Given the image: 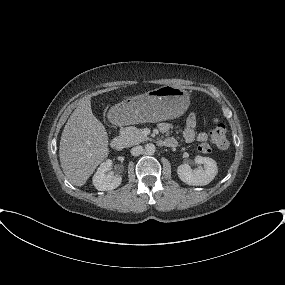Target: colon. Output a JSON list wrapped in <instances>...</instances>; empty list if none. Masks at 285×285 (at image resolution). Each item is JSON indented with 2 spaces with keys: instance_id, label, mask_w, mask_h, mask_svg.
Returning a JSON list of instances; mask_svg holds the SVG:
<instances>
[{
  "instance_id": "obj_1",
  "label": "colon",
  "mask_w": 285,
  "mask_h": 285,
  "mask_svg": "<svg viewBox=\"0 0 285 285\" xmlns=\"http://www.w3.org/2000/svg\"><path fill=\"white\" fill-rule=\"evenodd\" d=\"M210 138L212 143L219 150H225L229 146L226 127L223 123L219 122L218 120H215V126L211 130ZM199 150L200 152L206 154L211 152V147L208 144H202L200 145Z\"/></svg>"
}]
</instances>
